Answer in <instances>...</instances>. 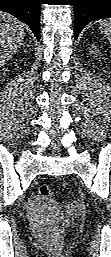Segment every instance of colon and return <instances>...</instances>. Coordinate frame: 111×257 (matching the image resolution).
I'll list each match as a JSON object with an SVG mask.
<instances>
[{"label":"colon","mask_w":111,"mask_h":257,"mask_svg":"<svg viewBox=\"0 0 111 257\" xmlns=\"http://www.w3.org/2000/svg\"><path fill=\"white\" fill-rule=\"evenodd\" d=\"M52 190L47 186H42L38 190L36 202L40 207L49 208L54 207L51 202Z\"/></svg>","instance_id":"5ec220e1"}]
</instances>
